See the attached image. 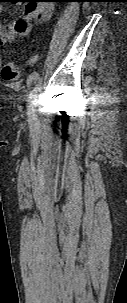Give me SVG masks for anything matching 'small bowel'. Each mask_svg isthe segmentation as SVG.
Returning <instances> with one entry per match:
<instances>
[{
  "instance_id": "c3829d8e",
  "label": "small bowel",
  "mask_w": 127,
  "mask_h": 303,
  "mask_svg": "<svg viewBox=\"0 0 127 303\" xmlns=\"http://www.w3.org/2000/svg\"><path fill=\"white\" fill-rule=\"evenodd\" d=\"M49 1L52 0L28 1L25 4L23 14L18 19L8 24L5 28L0 25V45L12 41L17 37H26L30 32L32 21L49 20L53 14L54 7L52 4L43 3Z\"/></svg>"
}]
</instances>
